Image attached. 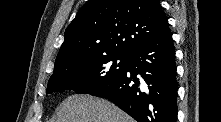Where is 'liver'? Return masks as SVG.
Listing matches in <instances>:
<instances>
[{"mask_svg":"<svg viewBox=\"0 0 221 122\" xmlns=\"http://www.w3.org/2000/svg\"><path fill=\"white\" fill-rule=\"evenodd\" d=\"M56 122H133V119L105 99L75 94L60 104Z\"/></svg>","mask_w":221,"mask_h":122,"instance_id":"6515ba94","label":"liver"}]
</instances>
